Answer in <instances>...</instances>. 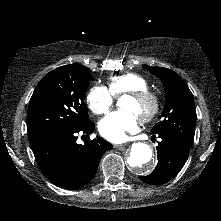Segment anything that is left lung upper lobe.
I'll list each match as a JSON object with an SVG mask.
<instances>
[{"label":"left lung upper lobe","mask_w":221,"mask_h":221,"mask_svg":"<svg viewBox=\"0 0 221 221\" xmlns=\"http://www.w3.org/2000/svg\"><path fill=\"white\" fill-rule=\"evenodd\" d=\"M143 68L163 82L166 92L162 120L152 128L151 132L171 136L190 150L197 119L190 89L185 81L170 69L146 65Z\"/></svg>","instance_id":"left-lung-upper-lobe-1"}]
</instances>
